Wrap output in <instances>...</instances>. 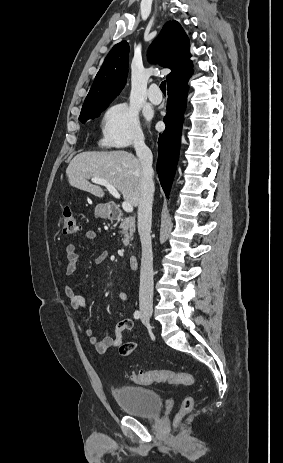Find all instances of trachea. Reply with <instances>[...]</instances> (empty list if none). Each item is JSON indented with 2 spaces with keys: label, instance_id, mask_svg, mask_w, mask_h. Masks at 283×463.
<instances>
[{
  "label": "trachea",
  "instance_id": "obj_1",
  "mask_svg": "<svg viewBox=\"0 0 283 463\" xmlns=\"http://www.w3.org/2000/svg\"><path fill=\"white\" fill-rule=\"evenodd\" d=\"M160 89L161 91L165 94L166 93V81H163L161 84H160Z\"/></svg>",
  "mask_w": 283,
  "mask_h": 463
}]
</instances>
